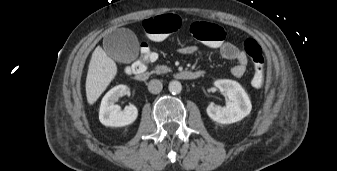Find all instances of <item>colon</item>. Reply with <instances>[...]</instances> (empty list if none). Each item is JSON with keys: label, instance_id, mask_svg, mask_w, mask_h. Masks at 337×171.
I'll list each match as a JSON object with an SVG mask.
<instances>
[{"label": "colon", "instance_id": "colon-1", "mask_svg": "<svg viewBox=\"0 0 337 171\" xmlns=\"http://www.w3.org/2000/svg\"><path fill=\"white\" fill-rule=\"evenodd\" d=\"M180 25V18L171 14L151 17L143 23L147 36L155 41H160L167 35L176 32ZM190 31L192 36L200 40L207 49L216 50L224 43L225 31L219 25L197 21L191 25ZM244 50L253 65L252 85L261 87L265 78V57L262 48L256 40L247 38L244 41ZM140 52V59L134 67L146 68L147 64L155 65L158 62V55L153 52V45L150 42H143L140 45Z\"/></svg>", "mask_w": 337, "mask_h": 171}]
</instances>
